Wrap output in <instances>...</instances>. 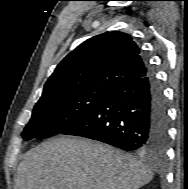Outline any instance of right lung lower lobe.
<instances>
[{"mask_svg":"<svg viewBox=\"0 0 188 189\" xmlns=\"http://www.w3.org/2000/svg\"><path fill=\"white\" fill-rule=\"evenodd\" d=\"M106 95L82 120L61 134L98 140L126 151L163 154L168 142L165 98L151 67Z\"/></svg>","mask_w":188,"mask_h":189,"instance_id":"obj_1","label":"right lung lower lobe"}]
</instances>
